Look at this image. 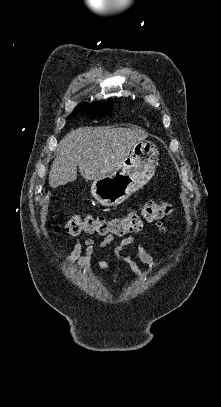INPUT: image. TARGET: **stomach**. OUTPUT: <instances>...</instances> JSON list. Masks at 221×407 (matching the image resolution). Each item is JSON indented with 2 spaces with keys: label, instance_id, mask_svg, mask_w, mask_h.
Masks as SVG:
<instances>
[{
  "label": "stomach",
  "instance_id": "stomach-1",
  "mask_svg": "<svg viewBox=\"0 0 221 407\" xmlns=\"http://www.w3.org/2000/svg\"><path fill=\"white\" fill-rule=\"evenodd\" d=\"M158 154L154 142L143 140L136 143L113 172L93 181L92 196L103 206L121 204L153 177Z\"/></svg>",
  "mask_w": 221,
  "mask_h": 407
}]
</instances>
